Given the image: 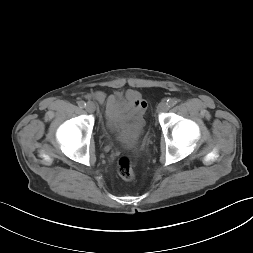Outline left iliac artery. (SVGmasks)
Here are the masks:
<instances>
[{
	"instance_id": "44dca946",
	"label": "left iliac artery",
	"mask_w": 253,
	"mask_h": 253,
	"mask_svg": "<svg viewBox=\"0 0 253 253\" xmlns=\"http://www.w3.org/2000/svg\"><path fill=\"white\" fill-rule=\"evenodd\" d=\"M167 103H168L169 107H172V106L176 105L177 100L176 99H168Z\"/></svg>"
}]
</instances>
